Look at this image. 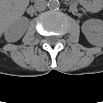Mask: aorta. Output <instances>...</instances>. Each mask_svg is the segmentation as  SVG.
Masks as SVG:
<instances>
[{
  "label": "aorta",
  "mask_w": 103,
  "mask_h": 103,
  "mask_svg": "<svg viewBox=\"0 0 103 103\" xmlns=\"http://www.w3.org/2000/svg\"><path fill=\"white\" fill-rule=\"evenodd\" d=\"M47 5L50 9H58L60 7V2L58 0H49Z\"/></svg>",
  "instance_id": "obj_1"
}]
</instances>
